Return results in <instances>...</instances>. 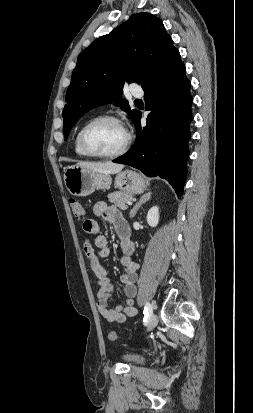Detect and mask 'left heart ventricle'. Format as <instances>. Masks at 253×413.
<instances>
[{"mask_svg": "<svg viewBox=\"0 0 253 413\" xmlns=\"http://www.w3.org/2000/svg\"><path fill=\"white\" fill-rule=\"evenodd\" d=\"M125 139L123 128L112 122L99 123L87 134L89 148L97 153L115 152L123 146Z\"/></svg>", "mask_w": 253, "mask_h": 413, "instance_id": "obj_1", "label": "left heart ventricle"}]
</instances>
